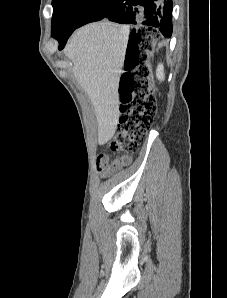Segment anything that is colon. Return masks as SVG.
<instances>
[{
  "mask_svg": "<svg viewBox=\"0 0 227 298\" xmlns=\"http://www.w3.org/2000/svg\"><path fill=\"white\" fill-rule=\"evenodd\" d=\"M147 32L141 31L132 41L119 81L120 118L118 130L109 144L114 152L135 153L157 111L149 68L153 44L143 37Z\"/></svg>",
  "mask_w": 227,
  "mask_h": 298,
  "instance_id": "1",
  "label": "colon"
}]
</instances>
